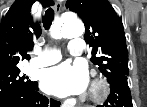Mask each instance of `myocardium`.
Masks as SVG:
<instances>
[{
    "instance_id": "f54148a6",
    "label": "myocardium",
    "mask_w": 147,
    "mask_h": 107,
    "mask_svg": "<svg viewBox=\"0 0 147 107\" xmlns=\"http://www.w3.org/2000/svg\"><path fill=\"white\" fill-rule=\"evenodd\" d=\"M108 88L105 82L97 80L92 84L90 97L93 101L102 100L107 94Z\"/></svg>"
}]
</instances>
